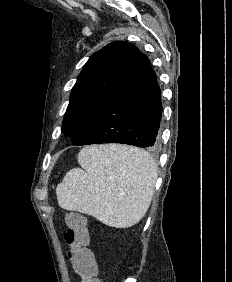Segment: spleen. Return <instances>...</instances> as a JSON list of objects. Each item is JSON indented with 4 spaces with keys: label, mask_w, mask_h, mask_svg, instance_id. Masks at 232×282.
Returning a JSON list of instances; mask_svg holds the SVG:
<instances>
[{
    "label": "spleen",
    "mask_w": 232,
    "mask_h": 282,
    "mask_svg": "<svg viewBox=\"0 0 232 282\" xmlns=\"http://www.w3.org/2000/svg\"><path fill=\"white\" fill-rule=\"evenodd\" d=\"M56 188L59 206L89 214L117 228L138 223L147 212L157 165L144 150L125 145L84 147Z\"/></svg>",
    "instance_id": "obj_1"
}]
</instances>
